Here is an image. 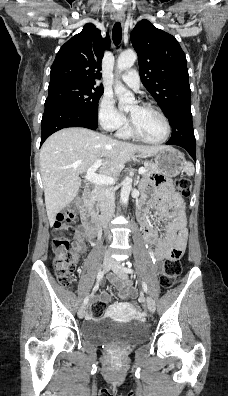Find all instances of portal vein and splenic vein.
Instances as JSON below:
<instances>
[{
  "instance_id": "obj_1",
  "label": "portal vein and splenic vein",
  "mask_w": 228,
  "mask_h": 396,
  "mask_svg": "<svg viewBox=\"0 0 228 396\" xmlns=\"http://www.w3.org/2000/svg\"><path fill=\"white\" fill-rule=\"evenodd\" d=\"M102 160H97L88 170L85 175V179L96 185H109L114 184L115 180L113 177L96 174L95 171L101 165ZM139 174H143L145 172L144 167H140L138 170Z\"/></svg>"
}]
</instances>
